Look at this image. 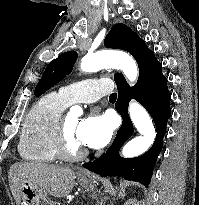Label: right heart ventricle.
<instances>
[{"mask_svg": "<svg viewBox=\"0 0 199 205\" xmlns=\"http://www.w3.org/2000/svg\"><path fill=\"white\" fill-rule=\"evenodd\" d=\"M68 105L59 93H50L31 108L24 120L18 144V152L24 160L37 164H50L57 160L52 140L62 111Z\"/></svg>", "mask_w": 199, "mask_h": 205, "instance_id": "obj_1", "label": "right heart ventricle"}]
</instances>
